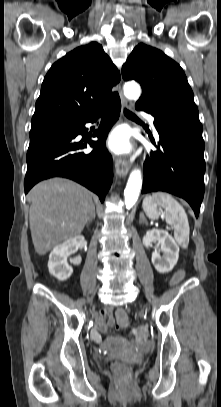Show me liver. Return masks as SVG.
Returning a JSON list of instances; mask_svg holds the SVG:
<instances>
[{"label": "liver", "mask_w": 221, "mask_h": 407, "mask_svg": "<svg viewBox=\"0 0 221 407\" xmlns=\"http://www.w3.org/2000/svg\"><path fill=\"white\" fill-rule=\"evenodd\" d=\"M29 223L38 255L81 234L93 214L92 194L64 178H51L36 184L29 192Z\"/></svg>", "instance_id": "6515ba94"}]
</instances>
